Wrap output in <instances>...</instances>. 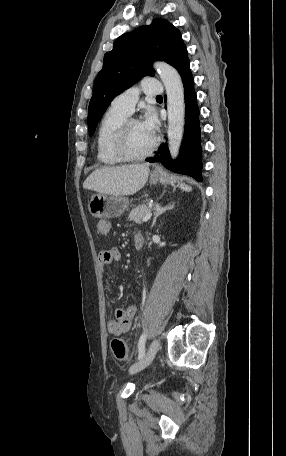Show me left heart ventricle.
<instances>
[{"mask_svg":"<svg viewBox=\"0 0 286 456\" xmlns=\"http://www.w3.org/2000/svg\"><path fill=\"white\" fill-rule=\"evenodd\" d=\"M153 140L140 122L132 123L127 134V151L131 155H141L150 148Z\"/></svg>","mask_w":286,"mask_h":456,"instance_id":"b2bd125f","label":"left heart ventricle"}]
</instances>
